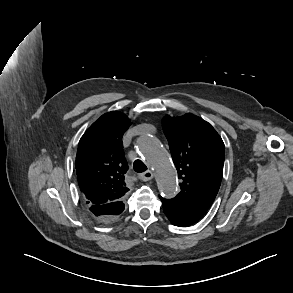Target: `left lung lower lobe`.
<instances>
[{"instance_id":"1","label":"left lung lower lobe","mask_w":293,"mask_h":293,"mask_svg":"<svg viewBox=\"0 0 293 293\" xmlns=\"http://www.w3.org/2000/svg\"><path fill=\"white\" fill-rule=\"evenodd\" d=\"M163 204V211L169 220L176 226L187 227L198 221L205 213L188 207L179 200H171L160 197Z\"/></svg>"}]
</instances>
